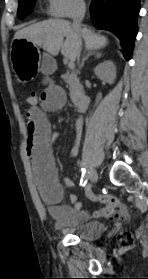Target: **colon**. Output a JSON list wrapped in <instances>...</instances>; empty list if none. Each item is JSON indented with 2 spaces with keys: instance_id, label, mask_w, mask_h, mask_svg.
I'll return each instance as SVG.
<instances>
[{
  "instance_id": "5ec220e1",
  "label": "colon",
  "mask_w": 148,
  "mask_h": 279,
  "mask_svg": "<svg viewBox=\"0 0 148 279\" xmlns=\"http://www.w3.org/2000/svg\"><path fill=\"white\" fill-rule=\"evenodd\" d=\"M25 101L30 107L34 106L38 102V96L36 95V93L30 92L26 95ZM112 214L115 215V216L125 215L126 214L125 206L123 204H118L114 208ZM118 243H119L120 249L125 250V249H128L132 246L133 241H132V238H131L130 235L124 233V234H121L118 237Z\"/></svg>"
}]
</instances>
